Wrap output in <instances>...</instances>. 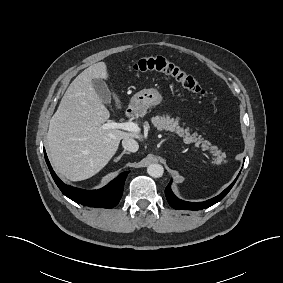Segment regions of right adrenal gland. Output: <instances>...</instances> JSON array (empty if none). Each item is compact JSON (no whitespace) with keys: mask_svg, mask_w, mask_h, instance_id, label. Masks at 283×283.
I'll use <instances>...</instances> for the list:
<instances>
[{"mask_svg":"<svg viewBox=\"0 0 283 283\" xmlns=\"http://www.w3.org/2000/svg\"><path fill=\"white\" fill-rule=\"evenodd\" d=\"M124 154H130V152L123 151L117 158L114 159V162H118Z\"/></svg>","mask_w":283,"mask_h":283,"instance_id":"right-adrenal-gland-1","label":"right adrenal gland"}]
</instances>
